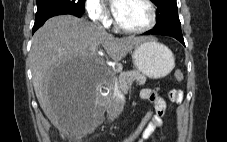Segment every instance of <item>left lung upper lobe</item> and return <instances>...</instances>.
<instances>
[{"instance_id": "left-lung-upper-lobe-1", "label": "left lung upper lobe", "mask_w": 227, "mask_h": 142, "mask_svg": "<svg viewBox=\"0 0 227 142\" xmlns=\"http://www.w3.org/2000/svg\"><path fill=\"white\" fill-rule=\"evenodd\" d=\"M157 5L156 28H171L181 30V23L178 17L176 0H153Z\"/></svg>"}]
</instances>
